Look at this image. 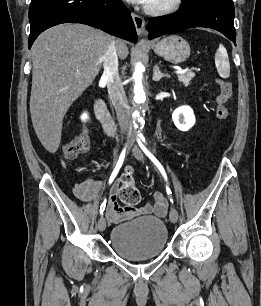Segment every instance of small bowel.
I'll use <instances>...</instances> for the list:
<instances>
[{"label":"small bowel","mask_w":261,"mask_h":306,"mask_svg":"<svg viewBox=\"0 0 261 306\" xmlns=\"http://www.w3.org/2000/svg\"><path fill=\"white\" fill-rule=\"evenodd\" d=\"M101 187V180L89 179L76 185L73 188V194L80 201L91 202L98 196ZM167 209V200L160 192H156L153 195V202L144 206L143 208L130 210L125 207H121L117 202L116 189H114L108 200L106 216L110 222L116 223L140 214H154L158 217H164L167 213Z\"/></svg>","instance_id":"obj_1"}]
</instances>
